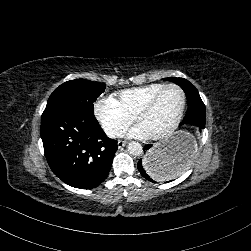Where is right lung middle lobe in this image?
Listing matches in <instances>:
<instances>
[{
    "label": "right lung middle lobe",
    "instance_id": "obj_1",
    "mask_svg": "<svg viewBox=\"0 0 251 251\" xmlns=\"http://www.w3.org/2000/svg\"><path fill=\"white\" fill-rule=\"evenodd\" d=\"M105 87L103 83L85 79L67 81L50 95L45 109H71L94 114L93 103Z\"/></svg>",
    "mask_w": 251,
    "mask_h": 251
}]
</instances>
